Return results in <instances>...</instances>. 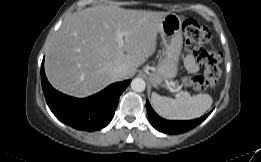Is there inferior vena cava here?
Masks as SVG:
<instances>
[{
	"label": "inferior vena cava",
	"mask_w": 261,
	"mask_h": 162,
	"mask_svg": "<svg viewBox=\"0 0 261 162\" xmlns=\"http://www.w3.org/2000/svg\"><path fill=\"white\" fill-rule=\"evenodd\" d=\"M126 74L125 66H117L113 69V75L117 78H121Z\"/></svg>",
	"instance_id": "obj_1"
}]
</instances>
